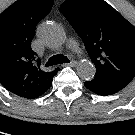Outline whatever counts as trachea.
I'll use <instances>...</instances> for the list:
<instances>
[{
    "label": "trachea",
    "instance_id": "trachea-1",
    "mask_svg": "<svg viewBox=\"0 0 135 135\" xmlns=\"http://www.w3.org/2000/svg\"><path fill=\"white\" fill-rule=\"evenodd\" d=\"M68 62H70V60L66 56H64L63 54H57L49 58L45 66H52V65L63 64Z\"/></svg>",
    "mask_w": 135,
    "mask_h": 135
}]
</instances>
